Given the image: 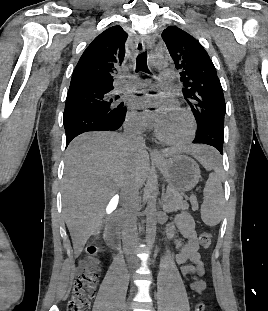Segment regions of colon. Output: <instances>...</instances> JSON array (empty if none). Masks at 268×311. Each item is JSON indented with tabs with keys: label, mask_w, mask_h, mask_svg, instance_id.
I'll list each match as a JSON object with an SVG mask.
<instances>
[{
	"label": "colon",
	"mask_w": 268,
	"mask_h": 311,
	"mask_svg": "<svg viewBox=\"0 0 268 311\" xmlns=\"http://www.w3.org/2000/svg\"><path fill=\"white\" fill-rule=\"evenodd\" d=\"M199 242L203 248H209L212 242L211 234L209 232L200 233ZM96 255V248L89 247L87 249L86 256L82 260L76 275L74 291L68 304V311L89 310L100 273V265ZM204 310L205 306L203 302H198L194 309V311Z\"/></svg>",
	"instance_id": "colon-1"
}]
</instances>
